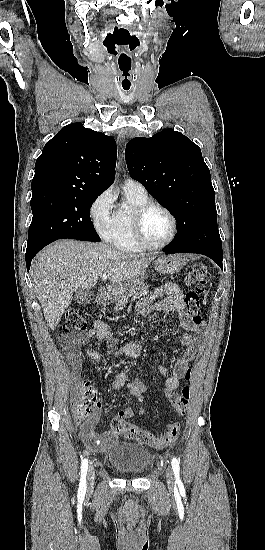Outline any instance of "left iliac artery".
Wrapping results in <instances>:
<instances>
[{
	"instance_id": "obj_1",
	"label": "left iliac artery",
	"mask_w": 265,
	"mask_h": 550,
	"mask_svg": "<svg viewBox=\"0 0 265 550\" xmlns=\"http://www.w3.org/2000/svg\"><path fill=\"white\" fill-rule=\"evenodd\" d=\"M172 469L174 471V475H175V478H176V483L178 485H181L182 482H181V479H180V466H179V461L176 459V458H173L172 459Z\"/></svg>"
}]
</instances>
